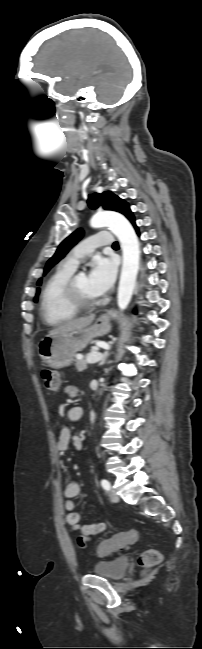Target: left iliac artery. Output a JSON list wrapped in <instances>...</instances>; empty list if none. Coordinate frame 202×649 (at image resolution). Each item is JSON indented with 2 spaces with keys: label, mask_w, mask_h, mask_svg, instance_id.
<instances>
[{
  "label": "left iliac artery",
  "mask_w": 202,
  "mask_h": 649,
  "mask_svg": "<svg viewBox=\"0 0 202 649\" xmlns=\"http://www.w3.org/2000/svg\"><path fill=\"white\" fill-rule=\"evenodd\" d=\"M101 486H102L103 489H105L106 491L110 490V483H109V481H107L106 479H102V480H101Z\"/></svg>",
  "instance_id": "1"
}]
</instances>
